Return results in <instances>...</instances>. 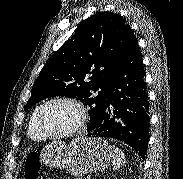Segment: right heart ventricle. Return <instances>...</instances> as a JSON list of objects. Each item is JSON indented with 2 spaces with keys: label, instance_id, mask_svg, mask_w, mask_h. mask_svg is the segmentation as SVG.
<instances>
[{
  "label": "right heart ventricle",
  "instance_id": "e07e8e85",
  "mask_svg": "<svg viewBox=\"0 0 183 179\" xmlns=\"http://www.w3.org/2000/svg\"><path fill=\"white\" fill-rule=\"evenodd\" d=\"M41 106H38L32 116H31V119H30V122H29V127H28V133H29V136L33 139V140H41L43 137L39 134V132L37 131V128H36V118H37V114L40 110Z\"/></svg>",
  "mask_w": 183,
  "mask_h": 179
}]
</instances>
